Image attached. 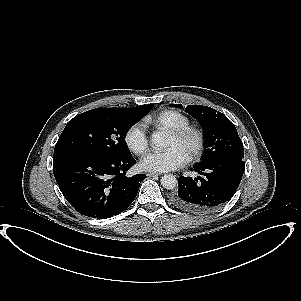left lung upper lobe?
I'll use <instances>...</instances> for the list:
<instances>
[{
    "instance_id": "1",
    "label": "left lung upper lobe",
    "mask_w": 301,
    "mask_h": 301,
    "mask_svg": "<svg viewBox=\"0 0 301 301\" xmlns=\"http://www.w3.org/2000/svg\"><path fill=\"white\" fill-rule=\"evenodd\" d=\"M171 106L182 108L181 104ZM185 111L201 124L207 141L202 161L195 166L204 167L228 156L244 158L243 143L234 124L224 114L200 105H188Z\"/></svg>"
}]
</instances>
